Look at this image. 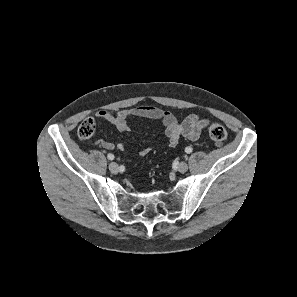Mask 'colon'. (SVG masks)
Wrapping results in <instances>:
<instances>
[{"label": "colon", "mask_w": 297, "mask_h": 297, "mask_svg": "<svg viewBox=\"0 0 297 297\" xmlns=\"http://www.w3.org/2000/svg\"><path fill=\"white\" fill-rule=\"evenodd\" d=\"M96 132V123L93 118L85 119L78 128V135L82 140L92 138ZM208 135L216 147H221L227 139L226 129L219 123H212L208 127ZM123 166L129 165L128 159L122 160Z\"/></svg>", "instance_id": "colon-1"}]
</instances>
